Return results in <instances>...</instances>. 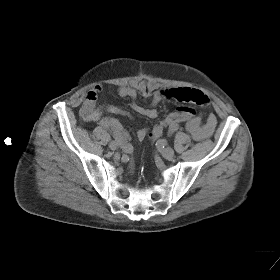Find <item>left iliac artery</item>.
Listing matches in <instances>:
<instances>
[{
	"instance_id": "obj_1",
	"label": "left iliac artery",
	"mask_w": 280,
	"mask_h": 280,
	"mask_svg": "<svg viewBox=\"0 0 280 280\" xmlns=\"http://www.w3.org/2000/svg\"><path fill=\"white\" fill-rule=\"evenodd\" d=\"M179 129V124L178 123H173L170 125L169 127V133L173 134L174 132H176Z\"/></svg>"
}]
</instances>
